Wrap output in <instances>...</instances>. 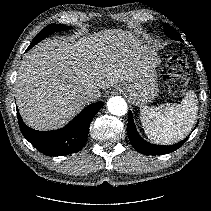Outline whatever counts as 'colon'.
<instances>
[{
	"instance_id": "5ec220e1",
	"label": "colon",
	"mask_w": 211,
	"mask_h": 211,
	"mask_svg": "<svg viewBox=\"0 0 211 211\" xmlns=\"http://www.w3.org/2000/svg\"><path fill=\"white\" fill-rule=\"evenodd\" d=\"M168 69L164 82L170 92L181 95L188 87L187 60L183 52L175 51L168 60Z\"/></svg>"
}]
</instances>
